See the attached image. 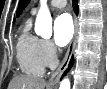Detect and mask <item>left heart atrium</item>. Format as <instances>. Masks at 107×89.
<instances>
[{
    "label": "left heart atrium",
    "mask_w": 107,
    "mask_h": 89,
    "mask_svg": "<svg viewBox=\"0 0 107 89\" xmlns=\"http://www.w3.org/2000/svg\"><path fill=\"white\" fill-rule=\"evenodd\" d=\"M54 41L59 47L66 46L74 33L73 22L69 14L63 13L54 21Z\"/></svg>",
    "instance_id": "obj_1"
}]
</instances>
